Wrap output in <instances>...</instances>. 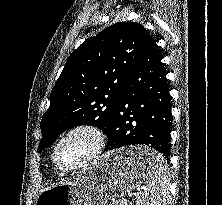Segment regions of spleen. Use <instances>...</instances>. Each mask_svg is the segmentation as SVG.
I'll return each mask as SVG.
<instances>
[{
    "label": "spleen",
    "mask_w": 222,
    "mask_h": 205,
    "mask_svg": "<svg viewBox=\"0 0 222 205\" xmlns=\"http://www.w3.org/2000/svg\"><path fill=\"white\" fill-rule=\"evenodd\" d=\"M149 168L146 173L145 188L137 196L136 205H166L168 193V165L165 158L155 154L146 159Z\"/></svg>",
    "instance_id": "1"
}]
</instances>
